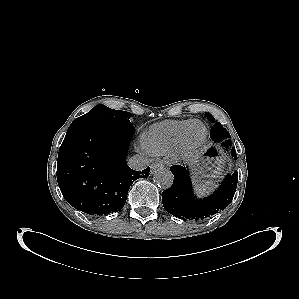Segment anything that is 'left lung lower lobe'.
<instances>
[{
	"mask_svg": "<svg viewBox=\"0 0 299 299\" xmlns=\"http://www.w3.org/2000/svg\"><path fill=\"white\" fill-rule=\"evenodd\" d=\"M222 145L229 148L232 143L225 140ZM231 154L236 160L234 147ZM171 171L174 174V182L162 193L163 206L170 214L183 220H202L225 209L232 202L238 181L237 171L231 176L228 175L220 188L205 199H198L193 195L191 181L185 167L172 166Z\"/></svg>",
	"mask_w": 299,
	"mask_h": 299,
	"instance_id": "1",
	"label": "left lung lower lobe"
}]
</instances>
